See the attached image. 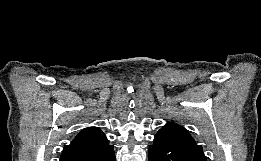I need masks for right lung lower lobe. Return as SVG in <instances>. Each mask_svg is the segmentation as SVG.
<instances>
[{
  "mask_svg": "<svg viewBox=\"0 0 261 161\" xmlns=\"http://www.w3.org/2000/svg\"><path fill=\"white\" fill-rule=\"evenodd\" d=\"M60 161H115L113 145L106 144L98 149L61 155Z\"/></svg>",
  "mask_w": 261,
  "mask_h": 161,
  "instance_id": "98d812e1",
  "label": "right lung lower lobe"
}]
</instances>
